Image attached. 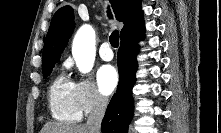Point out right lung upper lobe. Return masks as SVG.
Returning a JSON list of instances; mask_svg holds the SVG:
<instances>
[{
	"instance_id": "1",
	"label": "right lung upper lobe",
	"mask_w": 221,
	"mask_h": 133,
	"mask_svg": "<svg viewBox=\"0 0 221 133\" xmlns=\"http://www.w3.org/2000/svg\"><path fill=\"white\" fill-rule=\"evenodd\" d=\"M116 19L124 23L121 39L144 29L141 0H110ZM74 29L73 9L60 8L52 18L43 52V66L59 61Z\"/></svg>"
}]
</instances>
